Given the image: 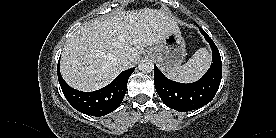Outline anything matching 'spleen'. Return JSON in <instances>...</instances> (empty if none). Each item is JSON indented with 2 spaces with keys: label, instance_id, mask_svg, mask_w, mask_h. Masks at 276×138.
<instances>
[{
  "label": "spleen",
  "instance_id": "obj_1",
  "mask_svg": "<svg viewBox=\"0 0 276 138\" xmlns=\"http://www.w3.org/2000/svg\"><path fill=\"white\" fill-rule=\"evenodd\" d=\"M211 56L207 49H198L188 62L168 71L166 76L174 81L190 83L198 80L209 67Z\"/></svg>",
  "mask_w": 276,
  "mask_h": 138
}]
</instances>
